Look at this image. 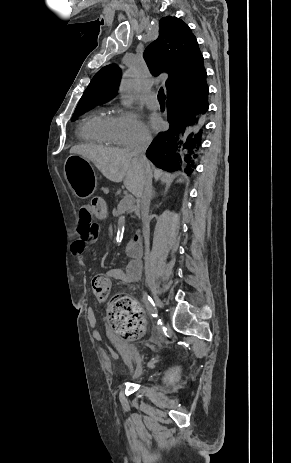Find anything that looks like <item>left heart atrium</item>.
I'll use <instances>...</instances> for the list:
<instances>
[{
    "mask_svg": "<svg viewBox=\"0 0 291 463\" xmlns=\"http://www.w3.org/2000/svg\"><path fill=\"white\" fill-rule=\"evenodd\" d=\"M150 125L154 130H158V129H160L162 123H161V120L158 117L153 116L150 119Z\"/></svg>",
    "mask_w": 291,
    "mask_h": 463,
    "instance_id": "obj_1",
    "label": "left heart atrium"
}]
</instances>
